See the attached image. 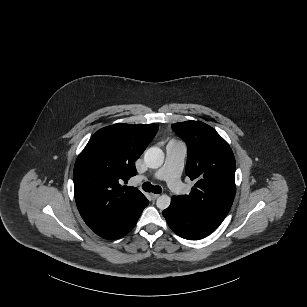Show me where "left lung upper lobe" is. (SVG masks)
I'll return each instance as SVG.
<instances>
[{
  "label": "left lung upper lobe",
  "instance_id": "1",
  "mask_svg": "<svg viewBox=\"0 0 307 307\" xmlns=\"http://www.w3.org/2000/svg\"><path fill=\"white\" fill-rule=\"evenodd\" d=\"M187 144L186 175L196 183L189 195L176 197L200 220L218 227L235 196V158L228 143L209 125L186 121L172 125Z\"/></svg>",
  "mask_w": 307,
  "mask_h": 307
}]
</instances>
